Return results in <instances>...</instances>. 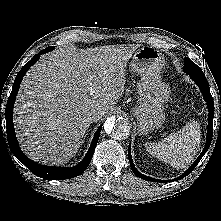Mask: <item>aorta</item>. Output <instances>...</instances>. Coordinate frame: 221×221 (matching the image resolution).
Instances as JSON below:
<instances>
[{
  "label": "aorta",
  "mask_w": 221,
  "mask_h": 221,
  "mask_svg": "<svg viewBox=\"0 0 221 221\" xmlns=\"http://www.w3.org/2000/svg\"><path fill=\"white\" fill-rule=\"evenodd\" d=\"M105 132L116 140L126 139L131 130L129 120L124 116H111L104 123Z\"/></svg>",
  "instance_id": "1"
}]
</instances>
